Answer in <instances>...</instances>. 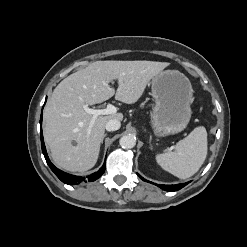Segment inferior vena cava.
Listing matches in <instances>:
<instances>
[{
    "mask_svg": "<svg viewBox=\"0 0 247 247\" xmlns=\"http://www.w3.org/2000/svg\"><path fill=\"white\" fill-rule=\"evenodd\" d=\"M120 126H121V123L119 120L111 119L106 123L105 128L107 131H116L120 128Z\"/></svg>",
    "mask_w": 247,
    "mask_h": 247,
    "instance_id": "1",
    "label": "inferior vena cava"
}]
</instances>
